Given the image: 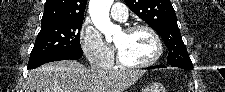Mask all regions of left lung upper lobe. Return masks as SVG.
I'll use <instances>...</instances> for the list:
<instances>
[{
	"label": "left lung upper lobe",
	"instance_id": "left-lung-upper-lobe-1",
	"mask_svg": "<svg viewBox=\"0 0 225 92\" xmlns=\"http://www.w3.org/2000/svg\"><path fill=\"white\" fill-rule=\"evenodd\" d=\"M128 7L154 28L169 50L170 65H192L177 25L175 11L170 0H124Z\"/></svg>",
	"mask_w": 225,
	"mask_h": 92
}]
</instances>
